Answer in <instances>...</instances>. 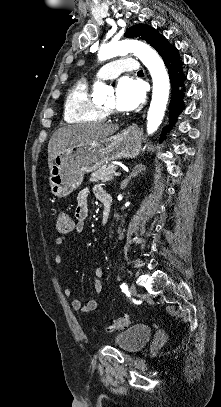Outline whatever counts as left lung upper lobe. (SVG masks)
Here are the masks:
<instances>
[{
	"label": "left lung upper lobe",
	"instance_id": "left-lung-upper-lobe-1",
	"mask_svg": "<svg viewBox=\"0 0 221 407\" xmlns=\"http://www.w3.org/2000/svg\"><path fill=\"white\" fill-rule=\"evenodd\" d=\"M124 35L126 37H130V38L138 37L142 40H145L148 44H150L155 49H156L158 40L162 36L153 27L145 25V24H137L131 28H127L126 33Z\"/></svg>",
	"mask_w": 221,
	"mask_h": 407
}]
</instances>
